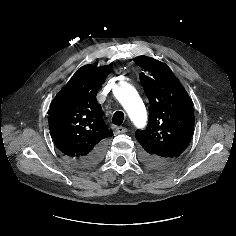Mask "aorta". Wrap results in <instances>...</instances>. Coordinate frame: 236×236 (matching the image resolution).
<instances>
[{"label":"aorta","instance_id":"762f6f07","mask_svg":"<svg viewBox=\"0 0 236 236\" xmlns=\"http://www.w3.org/2000/svg\"><path fill=\"white\" fill-rule=\"evenodd\" d=\"M114 94L128 114L136 128H144L147 122V112L143 101L132 85L120 82L116 85Z\"/></svg>","mask_w":236,"mask_h":236}]
</instances>
